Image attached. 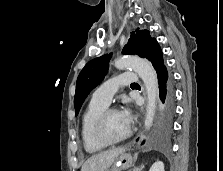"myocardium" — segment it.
<instances>
[{"instance_id":"myocardium-1","label":"myocardium","mask_w":223,"mask_h":171,"mask_svg":"<svg viewBox=\"0 0 223 171\" xmlns=\"http://www.w3.org/2000/svg\"><path fill=\"white\" fill-rule=\"evenodd\" d=\"M114 112H118V110L115 109V108L106 107L97 116V118H96V120L93 124V136L98 143H100L104 146H112V145L121 143V142L125 141L127 138H129L131 133H132V130L129 127L128 132L119 139L112 140V139H110L106 136L105 130H104L105 122H106V119H107L108 115L111 114V113H114Z\"/></svg>"}]
</instances>
